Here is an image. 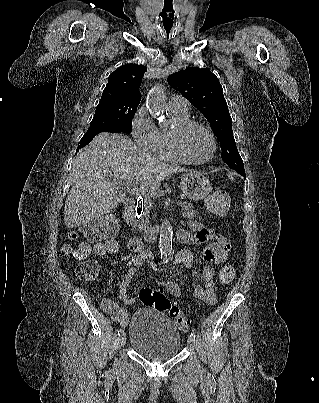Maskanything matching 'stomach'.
Returning <instances> with one entry per match:
<instances>
[{"mask_svg":"<svg viewBox=\"0 0 319 403\" xmlns=\"http://www.w3.org/2000/svg\"><path fill=\"white\" fill-rule=\"evenodd\" d=\"M180 185L185 196L192 201H200L212 191L208 178L198 172L182 175Z\"/></svg>","mask_w":319,"mask_h":403,"instance_id":"stomach-1","label":"stomach"}]
</instances>
